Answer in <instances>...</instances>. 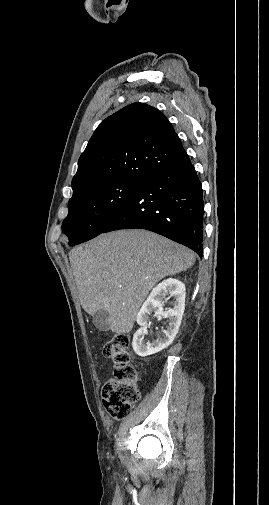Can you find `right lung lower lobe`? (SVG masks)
Here are the masks:
<instances>
[{
  "label": "right lung lower lobe",
  "mask_w": 269,
  "mask_h": 505,
  "mask_svg": "<svg viewBox=\"0 0 269 505\" xmlns=\"http://www.w3.org/2000/svg\"><path fill=\"white\" fill-rule=\"evenodd\" d=\"M204 202L186 152L153 171L102 233L141 228L203 254Z\"/></svg>",
  "instance_id": "obj_1"
}]
</instances>
